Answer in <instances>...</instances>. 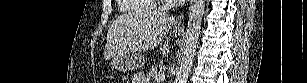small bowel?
<instances>
[{
	"label": "small bowel",
	"mask_w": 307,
	"mask_h": 83,
	"mask_svg": "<svg viewBox=\"0 0 307 83\" xmlns=\"http://www.w3.org/2000/svg\"><path fill=\"white\" fill-rule=\"evenodd\" d=\"M133 83H148L146 77L144 76L143 73H136L133 75L132 79Z\"/></svg>",
	"instance_id": "obj_1"
}]
</instances>
